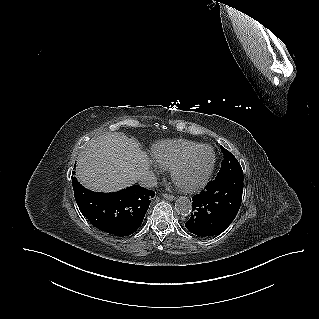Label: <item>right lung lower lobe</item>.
I'll return each mask as SVG.
<instances>
[{
    "mask_svg": "<svg viewBox=\"0 0 319 319\" xmlns=\"http://www.w3.org/2000/svg\"><path fill=\"white\" fill-rule=\"evenodd\" d=\"M73 190L81 213L97 229L124 237L141 225L155 192L131 186L118 192L98 193L84 188L75 177Z\"/></svg>",
    "mask_w": 319,
    "mask_h": 319,
    "instance_id": "right-lung-lower-lobe-1",
    "label": "right lung lower lobe"
}]
</instances>
